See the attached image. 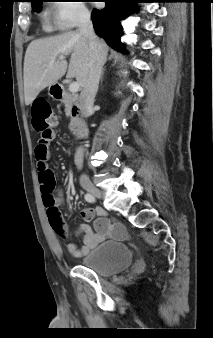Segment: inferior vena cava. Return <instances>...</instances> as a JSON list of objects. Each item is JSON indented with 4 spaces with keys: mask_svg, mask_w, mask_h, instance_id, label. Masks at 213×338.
<instances>
[{
    "mask_svg": "<svg viewBox=\"0 0 213 338\" xmlns=\"http://www.w3.org/2000/svg\"><path fill=\"white\" fill-rule=\"evenodd\" d=\"M79 34L88 40L90 48V69L88 79L80 94V110L84 118L88 117L89 110L92 108L102 68L106 60V52L103 49L101 41L95 35L93 30L90 13L84 11L79 20ZM81 180H88L85 175L81 176Z\"/></svg>",
    "mask_w": 213,
    "mask_h": 338,
    "instance_id": "obj_1",
    "label": "inferior vena cava"
}]
</instances>
